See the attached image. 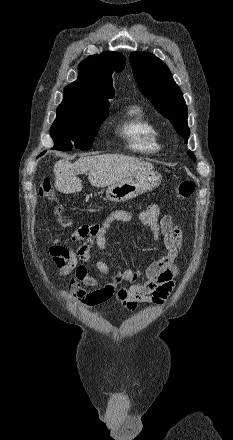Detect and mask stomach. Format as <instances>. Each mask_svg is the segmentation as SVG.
Wrapping results in <instances>:
<instances>
[{
    "instance_id": "0dacf381",
    "label": "stomach",
    "mask_w": 233,
    "mask_h": 440,
    "mask_svg": "<svg viewBox=\"0 0 233 440\" xmlns=\"http://www.w3.org/2000/svg\"><path fill=\"white\" fill-rule=\"evenodd\" d=\"M161 180L162 176L153 170L133 174L108 186L106 199L112 202H124L133 199L146 191H151L158 187Z\"/></svg>"
}]
</instances>
